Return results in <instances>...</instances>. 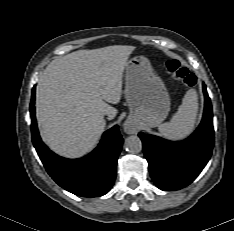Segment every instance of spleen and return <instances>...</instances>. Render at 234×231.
I'll return each mask as SVG.
<instances>
[{"instance_id": "spleen-1", "label": "spleen", "mask_w": 234, "mask_h": 231, "mask_svg": "<svg viewBox=\"0 0 234 231\" xmlns=\"http://www.w3.org/2000/svg\"><path fill=\"white\" fill-rule=\"evenodd\" d=\"M198 112V98L194 89L186 92L182 104L170 122L159 126L160 134L169 140H181L194 129Z\"/></svg>"}]
</instances>
